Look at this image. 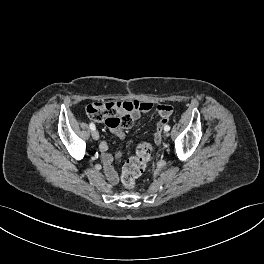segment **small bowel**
I'll return each mask as SVG.
<instances>
[{
  "label": "small bowel",
  "mask_w": 264,
  "mask_h": 264,
  "mask_svg": "<svg viewBox=\"0 0 264 264\" xmlns=\"http://www.w3.org/2000/svg\"><path fill=\"white\" fill-rule=\"evenodd\" d=\"M124 104L133 107V111H132L133 120L138 119L141 113H146L154 109L158 114V116L160 117V119H164L168 122L173 112L172 106L167 104L154 105L150 102H139V101L124 102ZM113 130L118 137L120 138L124 137V133L121 129H113ZM107 150H108L107 143L102 142L100 144V151L102 153V160H103L105 174L110 183L116 184L118 182V174L112 166L113 156ZM118 156H120V154H118Z\"/></svg>",
  "instance_id": "small-bowel-1"
}]
</instances>
